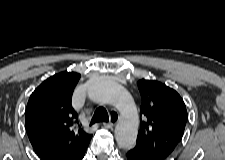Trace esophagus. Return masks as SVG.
Listing matches in <instances>:
<instances>
[{"mask_svg":"<svg viewBox=\"0 0 225 160\" xmlns=\"http://www.w3.org/2000/svg\"><path fill=\"white\" fill-rule=\"evenodd\" d=\"M118 118H119L118 113H117L116 111H112V112H111V117H110L111 122L104 123V124H103L104 127H106V128H112V127L116 124Z\"/></svg>","mask_w":225,"mask_h":160,"instance_id":"esophagus-1","label":"esophagus"}]
</instances>
